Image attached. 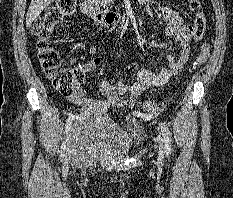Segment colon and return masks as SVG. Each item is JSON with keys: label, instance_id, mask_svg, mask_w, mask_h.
I'll use <instances>...</instances> for the list:
<instances>
[{"label": "colon", "instance_id": "5ec220e1", "mask_svg": "<svg viewBox=\"0 0 233 198\" xmlns=\"http://www.w3.org/2000/svg\"><path fill=\"white\" fill-rule=\"evenodd\" d=\"M77 6V0H56L55 4L48 7L39 17L32 33L38 51V59L46 76L53 86L65 95H71L78 85L82 83L83 74L79 68H64L61 66L57 50L52 45V35L57 27L69 16ZM189 6L195 12L193 22V35L200 39L205 31L206 18L200 11V0H189ZM210 48L204 43L194 63V69L202 66L209 58ZM142 107L150 115H157L164 109V105L156 100H147Z\"/></svg>", "mask_w": 233, "mask_h": 198}]
</instances>
